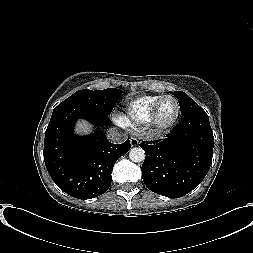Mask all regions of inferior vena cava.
<instances>
[{
    "mask_svg": "<svg viewBox=\"0 0 253 253\" xmlns=\"http://www.w3.org/2000/svg\"><path fill=\"white\" fill-rule=\"evenodd\" d=\"M107 139L113 143H122L126 137L116 128H111L107 132Z\"/></svg>",
    "mask_w": 253,
    "mask_h": 253,
    "instance_id": "602c4592",
    "label": "inferior vena cava"
}]
</instances>
